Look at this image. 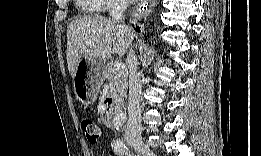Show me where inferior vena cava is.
Wrapping results in <instances>:
<instances>
[{"label":"inferior vena cava","instance_id":"obj_1","mask_svg":"<svg viewBox=\"0 0 261 156\" xmlns=\"http://www.w3.org/2000/svg\"><path fill=\"white\" fill-rule=\"evenodd\" d=\"M127 8V2L120 0L115 3L110 11L113 21L120 24L123 19V13ZM129 63V100H128V123L125 132V139L130 145L142 144L141 127V101L142 84L140 73H138V61L134 51L130 49L127 55Z\"/></svg>","mask_w":261,"mask_h":156}]
</instances>
